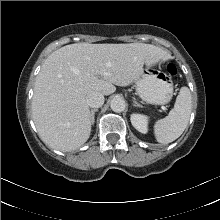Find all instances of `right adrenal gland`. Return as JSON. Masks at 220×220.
Listing matches in <instances>:
<instances>
[{"mask_svg":"<svg viewBox=\"0 0 220 220\" xmlns=\"http://www.w3.org/2000/svg\"><path fill=\"white\" fill-rule=\"evenodd\" d=\"M98 111V109H92L90 111V119H91V124H94L95 122V112Z\"/></svg>","mask_w":220,"mask_h":220,"instance_id":"right-adrenal-gland-1","label":"right adrenal gland"}]
</instances>
